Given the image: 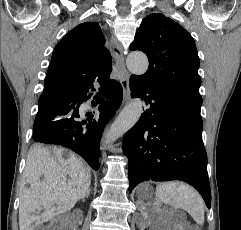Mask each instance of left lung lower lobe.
<instances>
[{
    "mask_svg": "<svg viewBox=\"0 0 241 230\" xmlns=\"http://www.w3.org/2000/svg\"><path fill=\"white\" fill-rule=\"evenodd\" d=\"M132 97L149 108L126 133L122 149L129 159V192L148 180H182L198 190L207 207L211 193L202 141L201 104L179 94L130 80Z\"/></svg>",
    "mask_w": 241,
    "mask_h": 230,
    "instance_id": "0a47b994",
    "label": "left lung lower lobe"
}]
</instances>
